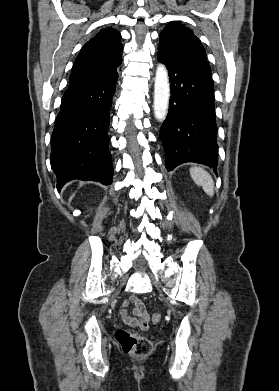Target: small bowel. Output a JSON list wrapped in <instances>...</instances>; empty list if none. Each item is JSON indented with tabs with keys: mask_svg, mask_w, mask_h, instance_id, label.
Instances as JSON below:
<instances>
[{
	"mask_svg": "<svg viewBox=\"0 0 279 391\" xmlns=\"http://www.w3.org/2000/svg\"><path fill=\"white\" fill-rule=\"evenodd\" d=\"M130 304L134 305V315L135 317H131L128 315L127 310L125 309ZM119 315L130 327H138L141 329H147L149 326V314L146 310L143 302L138 299L136 296H131L130 298L124 300L121 304V309L119 311Z\"/></svg>",
	"mask_w": 279,
	"mask_h": 391,
	"instance_id": "obj_1",
	"label": "small bowel"
}]
</instances>
